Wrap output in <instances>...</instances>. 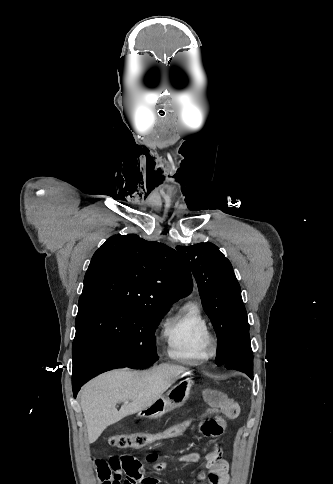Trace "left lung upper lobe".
Wrapping results in <instances>:
<instances>
[{
	"instance_id": "left-lung-upper-lobe-1",
	"label": "left lung upper lobe",
	"mask_w": 333,
	"mask_h": 484,
	"mask_svg": "<svg viewBox=\"0 0 333 484\" xmlns=\"http://www.w3.org/2000/svg\"><path fill=\"white\" fill-rule=\"evenodd\" d=\"M176 249L196 279L203 308L216 331L217 364L246 373L240 363L227 365L233 343L249 329L241 288L230 261L212 243L177 246Z\"/></svg>"
}]
</instances>
